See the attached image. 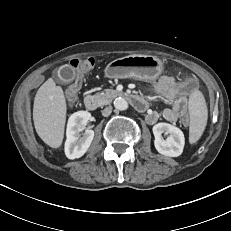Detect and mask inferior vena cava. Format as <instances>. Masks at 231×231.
<instances>
[{
  "mask_svg": "<svg viewBox=\"0 0 231 231\" xmlns=\"http://www.w3.org/2000/svg\"><path fill=\"white\" fill-rule=\"evenodd\" d=\"M111 112H112V107L108 106L102 111V115L104 117H107V116H109L111 114Z\"/></svg>",
  "mask_w": 231,
  "mask_h": 231,
  "instance_id": "602c4592",
  "label": "inferior vena cava"
}]
</instances>
